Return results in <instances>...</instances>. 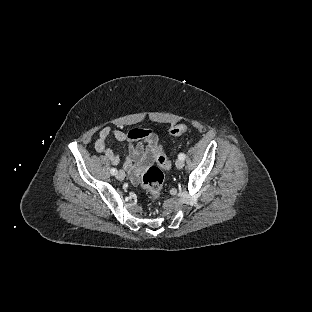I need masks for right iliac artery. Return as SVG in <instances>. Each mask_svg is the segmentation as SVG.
I'll use <instances>...</instances> for the list:
<instances>
[{
    "instance_id": "1",
    "label": "right iliac artery",
    "mask_w": 312,
    "mask_h": 312,
    "mask_svg": "<svg viewBox=\"0 0 312 312\" xmlns=\"http://www.w3.org/2000/svg\"><path fill=\"white\" fill-rule=\"evenodd\" d=\"M110 172H111L112 175H116V174H117V169L112 168V169L110 170Z\"/></svg>"
}]
</instances>
